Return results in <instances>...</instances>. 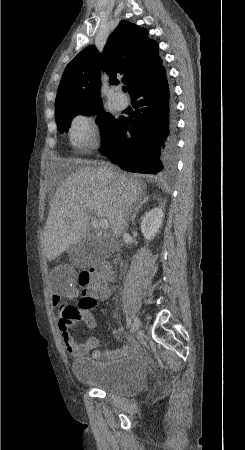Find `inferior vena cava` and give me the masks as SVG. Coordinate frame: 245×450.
Here are the masks:
<instances>
[{
	"mask_svg": "<svg viewBox=\"0 0 245 450\" xmlns=\"http://www.w3.org/2000/svg\"><path fill=\"white\" fill-rule=\"evenodd\" d=\"M99 174L105 179H115L114 173L112 172L111 168L108 166H102L99 169Z\"/></svg>",
	"mask_w": 245,
	"mask_h": 450,
	"instance_id": "1",
	"label": "inferior vena cava"
}]
</instances>
